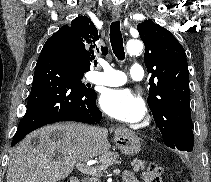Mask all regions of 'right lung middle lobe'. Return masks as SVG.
Returning <instances> with one entry per match:
<instances>
[{"label": "right lung middle lobe", "instance_id": "right-lung-middle-lobe-1", "mask_svg": "<svg viewBox=\"0 0 211 182\" xmlns=\"http://www.w3.org/2000/svg\"><path fill=\"white\" fill-rule=\"evenodd\" d=\"M86 72V70H83V69H78V77H79V79L81 80L82 78H83V74ZM85 85V88L87 89V90H91V89H89L88 87H89V85L88 84H84Z\"/></svg>", "mask_w": 211, "mask_h": 182}]
</instances>
